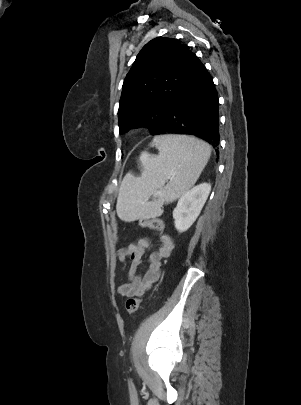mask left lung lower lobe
Instances as JSON below:
<instances>
[{"mask_svg": "<svg viewBox=\"0 0 301 405\" xmlns=\"http://www.w3.org/2000/svg\"><path fill=\"white\" fill-rule=\"evenodd\" d=\"M218 94L211 75L194 55L188 74L154 135L199 137L216 149L219 136Z\"/></svg>", "mask_w": 301, "mask_h": 405, "instance_id": "1", "label": "left lung lower lobe"}]
</instances>
